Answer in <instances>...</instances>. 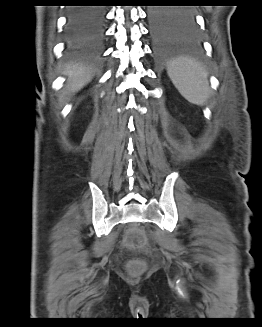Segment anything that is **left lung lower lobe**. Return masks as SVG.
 <instances>
[{
  "mask_svg": "<svg viewBox=\"0 0 262 327\" xmlns=\"http://www.w3.org/2000/svg\"><path fill=\"white\" fill-rule=\"evenodd\" d=\"M155 52L199 55L203 42L195 17L189 9L152 7L148 12Z\"/></svg>",
  "mask_w": 262,
  "mask_h": 327,
  "instance_id": "obj_1",
  "label": "left lung lower lobe"
}]
</instances>
